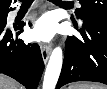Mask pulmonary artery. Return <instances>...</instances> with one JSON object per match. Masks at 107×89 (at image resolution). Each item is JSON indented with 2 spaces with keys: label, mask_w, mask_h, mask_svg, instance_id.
<instances>
[{
  "label": "pulmonary artery",
  "mask_w": 107,
  "mask_h": 89,
  "mask_svg": "<svg viewBox=\"0 0 107 89\" xmlns=\"http://www.w3.org/2000/svg\"><path fill=\"white\" fill-rule=\"evenodd\" d=\"M17 13V11L13 12V15H15Z\"/></svg>",
  "instance_id": "pulmonary-artery-1"
}]
</instances>
